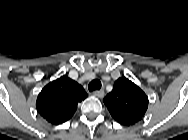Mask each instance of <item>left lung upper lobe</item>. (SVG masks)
Segmentation results:
<instances>
[{
  "instance_id": "left-lung-upper-lobe-1",
  "label": "left lung upper lobe",
  "mask_w": 188,
  "mask_h": 140,
  "mask_svg": "<svg viewBox=\"0 0 188 140\" xmlns=\"http://www.w3.org/2000/svg\"><path fill=\"white\" fill-rule=\"evenodd\" d=\"M112 117L122 125L139 122L148 108V97L132 81L121 77L103 100Z\"/></svg>"
}]
</instances>
